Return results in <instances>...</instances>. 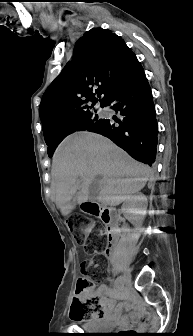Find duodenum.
<instances>
[{
	"label": "duodenum",
	"instance_id": "obj_1",
	"mask_svg": "<svg viewBox=\"0 0 193 336\" xmlns=\"http://www.w3.org/2000/svg\"><path fill=\"white\" fill-rule=\"evenodd\" d=\"M83 209L99 217L105 225L107 244L105 255L111 259L115 254L117 244V231L119 228V217L115 208L100 206L96 203L85 202Z\"/></svg>",
	"mask_w": 193,
	"mask_h": 336
}]
</instances>
